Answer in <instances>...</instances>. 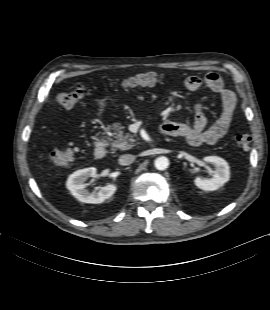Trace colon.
<instances>
[{
  "label": "colon",
  "instance_id": "colon-1",
  "mask_svg": "<svg viewBox=\"0 0 270 310\" xmlns=\"http://www.w3.org/2000/svg\"><path fill=\"white\" fill-rule=\"evenodd\" d=\"M162 81V77L153 72L140 73L138 75L125 78L119 82L123 88H135L143 86H152ZM84 98V90L77 89L71 92H62L57 95V102L65 109H71L77 106ZM237 146L242 150H247L251 143V137L248 134H239L235 138ZM78 149L69 144L62 149H55L51 153V160L55 165L64 166L76 158Z\"/></svg>",
  "mask_w": 270,
  "mask_h": 310
}]
</instances>
